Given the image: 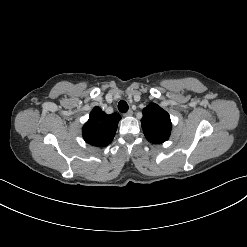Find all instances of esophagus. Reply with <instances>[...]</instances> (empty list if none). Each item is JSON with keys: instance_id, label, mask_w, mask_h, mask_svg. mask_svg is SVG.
Here are the masks:
<instances>
[{"instance_id": "34e87169", "label": "esophagus", "mask_w": 247, "mask_h": 247, "mask_svg": "<svg viewBox=\"0 0 247 247\" xmlns=\"http://www.w3.org/2000/svg\"><path fill=\"white\" fill-rule=\"evenodd\" d=\"M133 114L132 110L127 111L126 113H124V116H131Z\"/></svg>"}]
</instances>
